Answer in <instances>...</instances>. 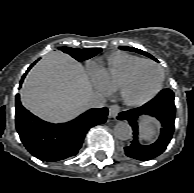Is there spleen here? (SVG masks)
Returning a JSON list of instances; mask_svg holds the SVG:
<instances>
[{"mask_svg":"<svg viewBox=\"0 0 194 193\" xmlns=\"http://www.w3.org/2000/svg\"><path fill=\"white\" fill-rule=\"evenodd\" d=\"M141 138L145 141L154 140L157 131L150 120H146L140 125Z\"/></svg>","mask_w":194,"mask_h":193,"instance_id":"1","label":"spleen"}]
</instances>
